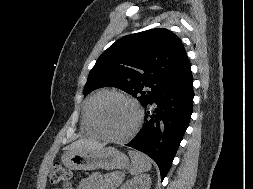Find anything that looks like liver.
<instances>
[{
	"label": "liver",
	"instance_id": "obj_1",
	"mask_svg": "<svg viewBox=\"0 0 253 189\" xmlns=\"http://www.w3.org/2000/svg\"><path fill=\"white\" fill-rule=\"evenodd\" d=\"M103 147L104 145L97 141L89 138H81L65 147V150L68 152H80L83 150L97 151L101 150Z\"/></svg>",
	"mask_w": 253,
	"mask_h": 189
}]
</instances>
